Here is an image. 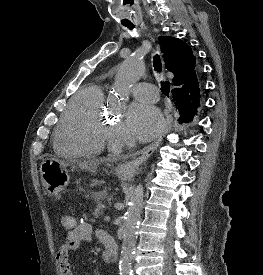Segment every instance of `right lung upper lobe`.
Instances as JSON below:
<instances>
[{"instance_id":"obj_1","label":"right lung upper lobe","mask_w":263,"mask_h":275,"mask_svg":"<svg viewBox=\"0 0 263 275\" xmlns=\"http://www.w3.org/2000/svg\"><path fill=\"white\" fill-rule=\"evenodd\" d=\"M159 42L165 66L168 71L174 73L175 89L185 91L184 110L187 113L197 112L202 99V90L198 79L192 76L197 63L191 47L184 41L170 36H160Z\"/></svg>"}]
</instances>
